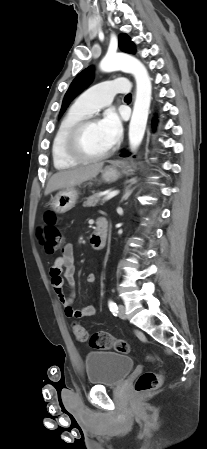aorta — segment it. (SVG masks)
<instances>
[{
	"instance_id": "1",
	"label": "aorta",
	"mask_w": 207,
	"mask_h": 449,
	"mask_svg": "<svg viewBox=\"0 0 207 449\" xmlns=\"http://www.w3.org/2000/svg\"><path fill=\"white\" fill-rule=\"evenodd\" d=\"M104 72L121 70L133 74L136 80V98L129 125V142L136 148L144 137L151 103L152 84L145 66L136 58L117 53L106 55L100 62Z\"/></svg>"
}]
</instances>
